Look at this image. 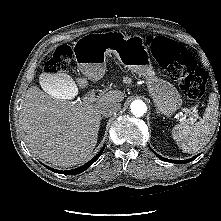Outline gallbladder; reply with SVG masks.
Instances as JSON below:
<instances>
[{"label":"gallbladder","mask_w":221,"mask_h":221,"mask_svg":"<svg viewBox=\"0 0 221 221\" xmlns=\"http://www.w3.org/2000/svg\"><path fill=\"white\" fill-rule=\"evenodd\" d=\"M37 81L41 88L50 92L53 97L58 99H72L78 91L76 83L68 76L49 69L41 71Z\"/></svg>","instance_id":"gallbladder-1"}]
</instances>
